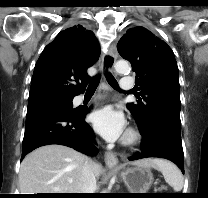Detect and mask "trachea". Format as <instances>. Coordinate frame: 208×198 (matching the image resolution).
<instances>
[{
  "instance_id": "obj_1",
  "label": "trachea",
  "mask_w": 208,
  "mask_h": 198,
  "mask_svg": "<svg viewBox=\"0 0 208 198\" xmlns=\"http://www.w3.org/2000/svg\"><path fill=\"white\" fill-rule=\"evenodd\" d=\"M106 77H107V81L109 83V85L116 89V90H119V85H118V82L116 81V79L113 77V75L111 73H107L106 74ZM99 84V76H95L93 77L90 82H89V86H88V89L87 91L89 92H95L97 86Z\"/></svg>"
}]
</instances>
